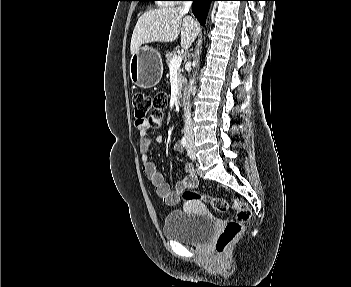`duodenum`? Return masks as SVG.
Instances as JSON below:
<instances>
[{
	"label": "duodenum",
	"instance_id": "410a0bca",
	"mask_svg": "<svg viewBox=\"0 0 351 287\" xmlns=\"http://www.w3.org/2000/svg\"><path fill=\"white\" fill-rule=\"evenodd\" d=\"M176 100L178 104H182L184 101L183 91L181 89H179L176 93Z\"/></svg>",
	"mask_w": 351,
	"mask_h": 287
}]
</instances>
